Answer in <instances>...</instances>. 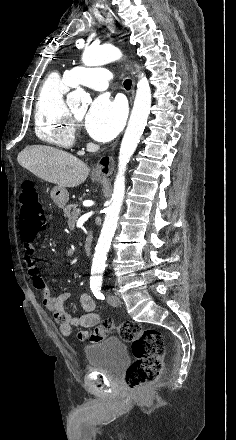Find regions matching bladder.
Listing matches in <instances>:
<instances>
[{
	"mask_svg": "<svg viewBox=\"0 0 236 440\" xmlns=\"http://www.w3.org/2000/svg\"><path fill=\"white\" fill-rule=\"evenodd\" d=\"M88 367L92 371L116 377L129 360L126 343L116 337H107L84 348Z\"/></svg>",
	"mask_w": 236,
	"mask_h": 440,
	"instance_id": "1",
	"label": "bladder"
}]
</instances>
